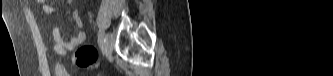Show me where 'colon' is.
I'll list each match as a JSON object with an SVG mask.
<instances>
[{
    "mask_svg": "<svg viewBox=\"0 0 333 76\" xmlns=\"http://www.w3.org/2000/svg\"><path fill=\"white\" fill-rule=\"evenodd\" d=\"M97 51L92 45L81 46L75 53L74 62L80 68H90L97 61Z\"/></svg>",
    "mask_w": 333,
    "mask_h": 76,
    "instance_id": "5ec220e1",
    "label": "colon"
}]
</instances>
